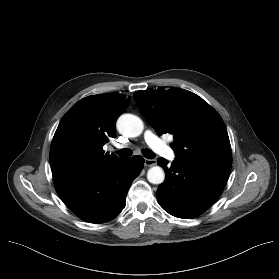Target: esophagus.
Wrapping results in <instances>:
<instances>
[{
  "mask_svg": "<svg viewBox=\"0 0 279 279\" xmlns=\"http://www.w3.org/2000/svg\"><path fill=\"white\" fill-rule=\"evenodd\" d=\"M156 164H157L156 159H145L144 161V165L148 167L154 166Z\"/></svg>",
  "mask_w": 279,
  "mask_h": 279,
  "instance_id": "esophagus-1",
  "label": "esophagus"
}]
</instances>
